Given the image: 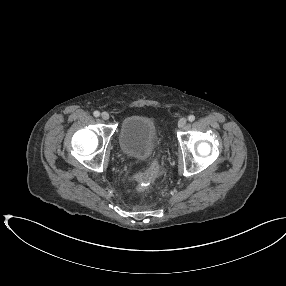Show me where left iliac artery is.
Segmentation results:
<instances>
[{
    "label": "left iliac artery",
    "mask_w": 286,
    "mask_h": 286,
    "mask_svg": "<svg viewBox=\"0 0 286 286\" xmlns=\"http://www.w3.org/2000/svg\"><path fill=\"white\" fill-rule=\"evenodd\" d=\"M194 120H195V116L194 115L188 116V121L193 122Z\"/></svg>",
    "instance_id": "1"
}]
</instances>
